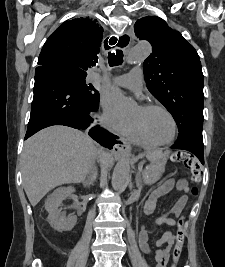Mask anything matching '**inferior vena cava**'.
<instances>
[{
	"instance_id": "602c4592",
	"label": "inferior vena cava",
	"mask_w": 225,
	"mask_h": 267,
	"mask_svg": "<svg viewBox=\"0 0 225 267\" xmlns=\"http://www.w3.org/2000/svg\"><path fill=\"white\" fill-rule=\"evenodd\" d=\"M102 126L108 130H111V128H112L111 124L105 119L102 120ZM104 154H105L104 151H102V149H100L99 150V156L103 158ZM92 176H93V168L91 171V177Z\"/></svg>"
}]
</instances>
